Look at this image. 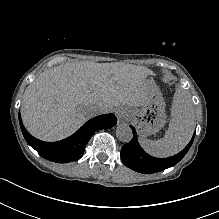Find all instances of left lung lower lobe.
Wrapping results in <instances>:
<instances>
[{
    "mask_svg": "<svg viewBox=\"0 0 219 219\" xmlns=\"http://www.w3.org/2000/svg\"><path fill=\"white\" fill-rule=\"evenodd\" d=\"M131 128L134 137L129 143L122 147L121 158L127 167L143 174L156 173L176 165L186 155L195 137L194 133L190 143L178 154L168 158H156L147 154L140 147L137 136L135 135V129L132 126Z\"/></svg>",
    "mask_w": 219,
    "mask_h": 219,
    "instance_id": "obj_1",
    "label": "left lung lower lobe"
}]
</instances>
